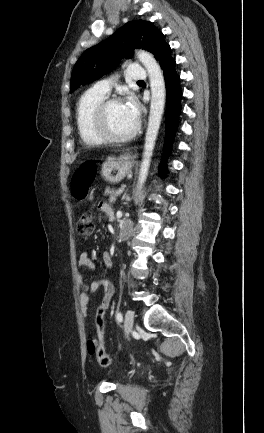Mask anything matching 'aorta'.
Here are the masks:
<instances>
[{
  "label": "aorta",
  "instance_id": "aorta-1",
  "mask_svg": "<svg viewBox=\"0 0 264 433\" xmlns=\"http://www.w3.org/2000/svg\"><path fill=\"white\" fill-rule=\"evenodd\" d=\"M136 55L148 72L151 90L150 113L138 180V187L141 188L148 176L151 158L164 112L166 89L163 72L155 58L150 53L143 50L137 51Z\"/></svg>",
  "mask_w": 264,
  "mask_h": 433
}]
</instances>
